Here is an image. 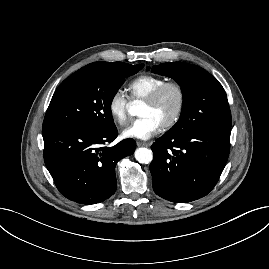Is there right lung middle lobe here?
I'll return each instance as SVG.
<instances>
[{
  "label": "right lung middle lobe",
  "mask_w": 269,
  "mask_h": 269,
  "mask_svg": "<svg viewBox=\"0 0 269 269\" xmlns=\"http://www.w3.org/2000/svg\"><path fill=\"white\" fill-rule=\"evenodd\" d=\"M142 68L143 64L94 62L79 69L56 89L43 129L61 125L97 132L113 129L111 102L125 78Z\"/></svg>",
  "instance_id": "1"
}]
</instances>
